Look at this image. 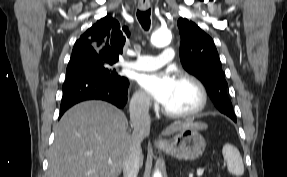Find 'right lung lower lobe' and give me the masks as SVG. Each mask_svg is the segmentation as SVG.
I'll return each mask as SVG.
<instances>
[{
  "label": "right lung lower lobe",
  "mask_w": 287,
  "mask_h": 177,
  "mask_svg": "<svg viewBox=\"0 0 287 177\" xmlns=\"http://www.w3.org/2000/svg\"><path fill=\"white\" fill-rule=\"evenodd\" d=\"M128 86L125 77L113 80L90 72L67 75L59 117L73 105L86 100H104L122 108L127 102Z\"/></svg>",
  "instance_id": "1"
}]
</instances>
